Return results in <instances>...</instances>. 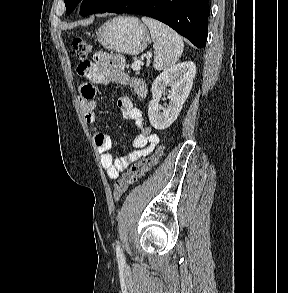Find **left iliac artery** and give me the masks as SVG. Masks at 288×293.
<instances>
[{
	"mask_svg": "<svg viewBox=\"0 0 288 293\" xmlns=\"http://www.w3.org/2000/svg\"><path fill=\"white\" fill-rule=\"evenodd\" d=\"M116 255H117V258L120 262L124 261V255H123V252H122V249H121L119 242H117V245H116Z\"/></svg>",
	"mask_w": 288,
	"mask_h": 293,
	"instance_id": "44dca946",
	"label": "left iliac artery"
}]
</instances>
